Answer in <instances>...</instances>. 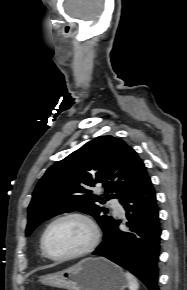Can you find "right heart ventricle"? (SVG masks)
<instances>
[{
  "instance_id": "1",
  "label": "right heart ventricle",
  "mask_w": 187,
  "mask_h": 290,
  "mask_svg": "<svg viewBox=\"0 0 187 290\" xmlns=\"http://www.w3.org/2000/svg\"><path fill=\"white\" fill-rule=\"evenodd\" d=\"M41 252H42V249H41ZM42 255L44 256L43 252H42Z\"/></svg>"
}]
</instances>
